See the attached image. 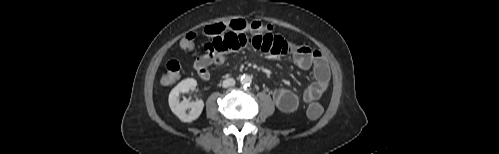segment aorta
<instances>
[{
  "mask_svg": "<svg viewBox=\"0 0 499 154\" xmlns=\"http://www.w3.org/2000/svg\"><path fill=\"white\" fill-rule=\"evenodd\" d=\"M240 82H241L242 85L248 86V85L251 84L252 78H251V76H249L247 74H244V75L241 76Z\"/></svg>",
  "mask_w": 499,
  "mask_h": 154,
  "instance_id": "aorta-1",
  "label": "aorta"
}]
</instances>
